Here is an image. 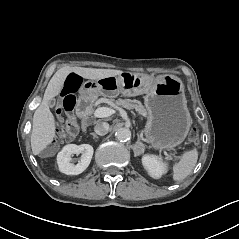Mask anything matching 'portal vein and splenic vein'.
I'll list each match as a JSON object with an SVG mask.
<instances>
[{
	"label": "portal vein and splenic vein",
	"mask_w": 239,
	"mask_h": 239,
	"mask_svg": "<svg viewBox=\"0 0 239 239\" xmlns=\"http://www.w3.org/2000/svg\"><path fill=\"white\" fill-rule=\"evenodd\" d=\"M114 110L113 109H110V108H107V107H100V108H97L94 112V116L97 117V118H103V117H109L111 116L112 114H114ZM169 153H167V151L165 150L164 151V157L165 159H168L170 160L171 158L169 157Z\"/></svg>",
	"instance_id": "obj_1"
}]
</instances>
